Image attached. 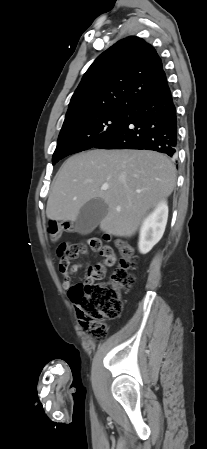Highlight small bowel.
<instances>
[{
  "label": "small bowel",
  "mask_w": 207,
  "mask_h": 449,
  "mask_svg": "<svg viewBox=\"0 0 207 449\" xmlns=\"http://www.w3.org/2000/svg\"><path fill=\"white\" fill-rule=\"evenodd\" d=\"M114 257H115V254H114ZM80 267H81V265H79V264L72 265L71 267H69V265L67 267H62L59 265V271L62 274V287L64 289H68L71 286V284H72L71 276ZM107 267H110V266H107ZM94 274H95V267H89L87 270V280L94 279L95 278Z\"/></svg>",
  "instance_id": "c3829d8e"
}]
</instances>
